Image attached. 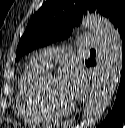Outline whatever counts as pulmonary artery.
Wrapping results in <instances>:
<instances>
[{
    "label": "pulmonary artery",
    "mask_w": 125,
    "mask_h": 128,
    "mask_svg": "<svg viewBox=\"0 0 125 128\" xmlns=\"http://www.w3.org/2000/svg\"><path fill=\"white\" fill-rule=\"evenodd\" d=\"M79 45L82 48H96L99 46L100 38L94 34H83L78 38ZM63 49L59 48H46L32 56V61L39 64L42 67H46L50 59L57 54H62Z\"/></svg>",
    "instance_id": "1"
}]
</instances>
